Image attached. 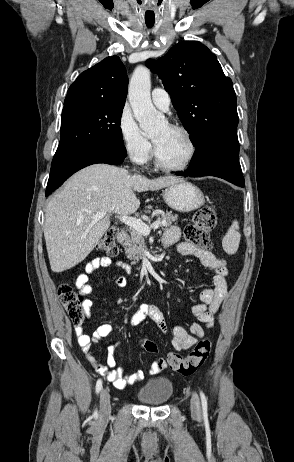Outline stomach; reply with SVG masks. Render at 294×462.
<instances>
[{"label": "stomach", "mask_w": 294, "mask_h": 462, "mask_svg": "<svg viewBox=\"0 0 294 462\" xmlns=\"http://www.w3.org/2000/svg\"><path fill=\"white\" fill-rule=\"evenodd\" d=\"M162 195L167 205L179 212L193 211L205 203L202 191L184 180L166 187Z\"/></svg>", "instance_id": "0dacf381"}]
</instances>
